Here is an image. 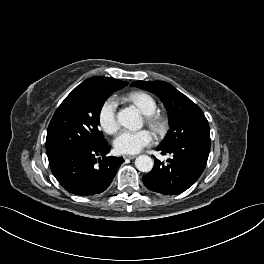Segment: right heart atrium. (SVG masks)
Returning <instances> with one entry per match:
<instances>
[{
	"label": "right heart atrium",
	"instance_id": "right-heart-atrium-1",
	"mask_svg": "<svg viewBox=\"0 0 264 264\" xmlns=\"http://www.w3.org/2000/svg\"><path fill=\"white\" fill-rule=\"evenodd\" d=\"M118 101L115 97L107 98L100 106L98 121L101 128L107 133H114L118 129L117 120Z\"/></svg>",
	"mask_w": 264,
	"mask_h": 264
}]
</instances>
